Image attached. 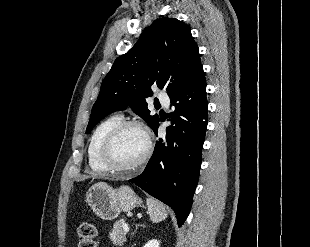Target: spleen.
I'll return each mask as SVG.
<instances>
[{"mask_svg":"<svg viewBox=\"0 0 310 247\" xmlns=\"http://www.w3.org/2000/svg\"><path fill=\"white\" fill-rule=\"evenodd\" d=\"M148 214L154 223L161 222L167 218V211L164 205L153 198L147 199Z\"/></svg>","mask_w":310,"mask_h":247,"instance_id":"3e777b00","label":"spleen"}]
</instances>
